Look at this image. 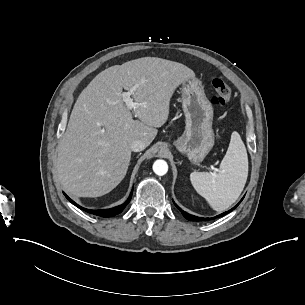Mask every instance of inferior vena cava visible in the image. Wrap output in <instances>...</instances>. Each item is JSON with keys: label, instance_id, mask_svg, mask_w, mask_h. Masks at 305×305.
Instances as JSON below:
<instances>
[{"label": "inferior vena cava", "instance_id": "obj_1", "mask_svg": "<svg viewBox=\"0 0 305 305\" xmlns=\"http://www.w3.org/2000/svg\"><path fill=\"white\" fill-rule=\"evenodd\" d=\"M129 146L132 151L139 152L146 148V143L141 140L133 139L129 142Z\"/></svg>", "mask_w": 305, "mask_h": 305}]
</instances>
